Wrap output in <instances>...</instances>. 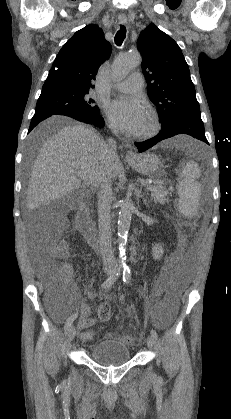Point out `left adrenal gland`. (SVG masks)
<instances>
[{
    "label": "left adrenal gland",
    "instance_id": "left-adrenal-gland-1",
    "mask_svg": "<svg viewBox=\"0 0 231 419\" xmlns=\"http://www.w3.org/2000/svg\"><path fill=\"white\" fill-rule=\"evenodd\" d=\"M143 201H144V203L148 206L147 200H146V199H144Z\"/></svg>",
    "mask_w": 231,
    "mask_h": 419
}]
</instances>
